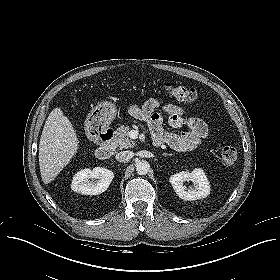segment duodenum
Returning a JSON list of instances; mask_svg holds the SVG:
<instances>
[{
    "label": "duodenum",
    "instance_id": "410a0bca",
    "mask_svg": "<svg viewBox=\"0 0 280 280\" xmlns=\"http://www.w3.org/2000/svg\"><path fill=\"white\" fill-rule=\"evenodd\" d=\"M115 137V131L112 127H107L105 129H101L95 135L97 139V149H96V157L100 160H106L113 156L114 154V146L113 140ZM162 145V141L159 138H154L153 146L160 147Z\"/></svg>",
    "mask_w": 280,
    "mask_h": 280
}]
</instances>
